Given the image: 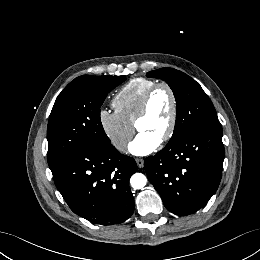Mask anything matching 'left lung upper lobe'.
Listing matches in <instances>:
<instances>
[{"mask_svg":"<svg viewBox=\"0 0 260 260\" xmlns=\"http://www.w3.org/2000/svg\"><path fill=\"white\" fill-rule=\"evenodd\" d=\"M147 77L164 80L176 98V123L169 143L179 140L196 128L220 124L208 95L190 76L173 68H161L150 71Z\"/></svg>","mask_w":260,"mask_h":260,"instance_id":"obj_1","label":"left lung upper lobe"}]
</instances>
